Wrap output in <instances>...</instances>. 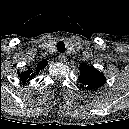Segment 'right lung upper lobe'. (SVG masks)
I'll list each match as a JSON object with an SVG mask.
<instances>
[{"mask_svg":"<svg viewBox=\"0 0 129 129\" xmlns=\"http://www.w3.org/2000/svg\"><path fill=\"white\" fill-rule=\"evenodd\" d=\"M48 64V62L46 60H42L37 64L36 67V72L32 73V70L29 68L28 71L26 73H23V78L26 79L30 73H32V76H35V73L37 74L41 69H43L46 65Z\"/></svg>","mask_w":129,"mask_h":129,"instance_id":"1","label":"right lung upper lobe"}]
</instances>
